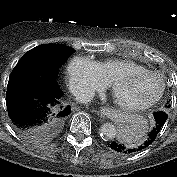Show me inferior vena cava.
Here are the masks:
<instances>
[{
    "label": "inferior vena cava",
    "instance_id": "obj_1",
    "mask_svg": "<svg viewBox=\"0 0 177 177\" xmlns=\"http://www.w3.org/2000/svg\"><path fill=\"white\" fill-rule=\"evenodd\" d=\"M73 95L80 103H88L93 98V93L90 91H76Z\"/></svg>",
    "mask_w": 177,
    "mask_h": 177
}]
</instances>
